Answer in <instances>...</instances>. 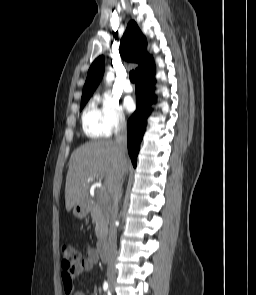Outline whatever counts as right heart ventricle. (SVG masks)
<instances>
[{
  "instance_id": "right-heart-ventricle-1",
  "label": "right heart ventricle",
  "mask_w": 256,
  "mask_h": 295,
  "mask_svg": "<svg viewBox=\"0 0 256 295\" xmlns=\"http://www.w3.org/2000/svg\"><path fill=\"white\" fill-rule=\"evenodd\" d=\"M82 128L90 138H103L107 136L101 111L94 102H90L82 114Z\"/></svg>"
}]
</instances>
